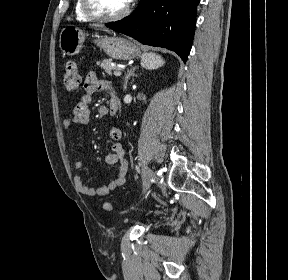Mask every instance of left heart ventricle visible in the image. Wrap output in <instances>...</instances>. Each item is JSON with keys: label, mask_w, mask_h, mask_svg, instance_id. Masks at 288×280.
<instances>
[{"label": "left heart ventricle", "mask_w": 288, "mask_h": 280, "mask_svg": "<svg viewBox=\"0 0 288 280\" xmlns=\"http://www.w3.org/2000/svg\"><path fill=\"white\" fill-rule=\"evenodd\" d=\"M95 7L103 14L114 15L121 12L127 5L126 0H92Z\"/></svg>", "instance_id": "b2bd125f"}]
</instances>
